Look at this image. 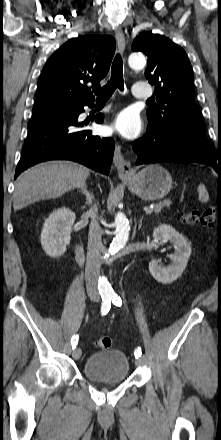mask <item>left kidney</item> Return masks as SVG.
Returning <instances> with one entry per match:
<instances>
[{
  "mask_svg": "<svg viewBox=\"0 0 221 440\" xmlns=\"http://www.w3.org/2000/svg\"><path fill=\"white\" fill-rule=\"evenodd\" d=\"M155 240L170 241L175 252L170 255L172 263L162 268L156 260L149 263V271L152 277L163 284H169L178 279L185 270L188 259L191 255V244L187 239L177 232L172 226L161 224L153 231Z\"/></svg>",
  "mask_w": 221,
  "mask_h": 440,
  "instance_id": "left-kidney-1",
  "label": "left kidney"
}]
</instances>
